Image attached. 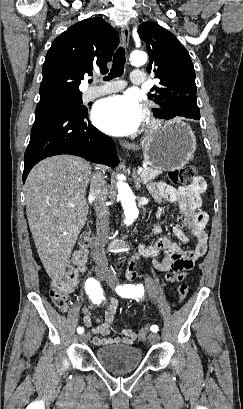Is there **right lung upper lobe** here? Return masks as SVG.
<instances>
[{"instance_id": "cb5924a9", "label": "right lung upper lobe", "mask_w": 243, "mask_h": 409, "mask_svg": "<svg viewBox=\"0 0 243 409\" xmlns=\"http://www.w3.org/2000/svg\"><path fill=\"white\" fill-rule=\"evenodd\" d=\"M118 42L117 32L101 18L85 19L68 28L46 54L40 101L82 95L81 80L92 75L94 66L108 71L106 64Z\"/></svg>"}]
</instances>
